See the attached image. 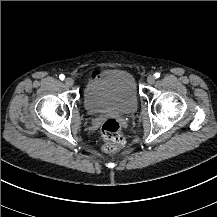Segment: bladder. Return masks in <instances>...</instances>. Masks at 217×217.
<instances>
[{
    "mask_svg": "<svg viewBox=\"0 0 217 217\" xmlns=\"http://www.w3.org/2000/svg\"><path fill=\"white\" fill-rule=\"evenodd\" d=\"M86 107L91 113L132 114L138 102L133 77L123 71H111L86 83Z\"/></svg>",
    "mask_w": 217,
    "mask_h": 217,
    "instance_id": "obj_1",
    "label": "bladder"
}]
</instances>
